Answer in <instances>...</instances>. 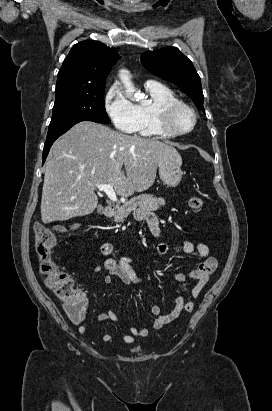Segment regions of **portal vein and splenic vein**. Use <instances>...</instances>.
I'll use <instances>...</instances> for the list:
<instances>
[{
	"label": "portal vein and splenic vein",
	"instance_id": "1",
	"mask_svg": "<svg viewBox=\"0 0 272 411\" xmlns=\"http://www.w3.org/2000/svg\"><path fill=\"white\" fill-rule=\"evenodd\" d=\"M95 186L99 191L105 192L107 194L108 198L111 201L117 202L118 199H117L116 193L113 189V185L111 183H109V184H96Z\"/></svg>",
	"mask_w": 272,
	"mask_h": 411
}]
</instances>
